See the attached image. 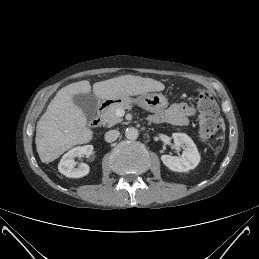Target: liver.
Wrapping results in <instances>:
<instances>
[{
	"label": "liver",
	"instance_id": "1",
	"mask_svg": "<svg viewBox=\"0 0 259 259\" xmlns=\"http://www.w3.org/2000/svg\"><path fill=\"white\" fill-rule=\"evenodd\" d=\"M165 86L152 78L123 75L93 84L94 95L102 100L162 91ZM91 92L89 81L72 83L60 89L41 116L36 127V149L40 160L49 163L71 147L87 143L92 131L86 127V116L73 103L76 94Z\"/></svg>",
	"mask_w": 259,
	"mask_h": 259
}]
</instances>
